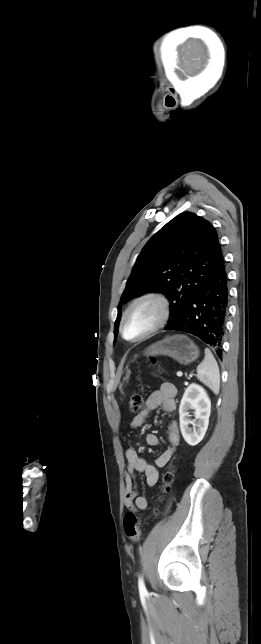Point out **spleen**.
Listing matches in <instances>:
<instances>
[{
	"instance_id": "obj_1",
	"label": "spleen",
	"mask_w": 261,
	"mask_h": 644,
	"mask_svg": "<svg viewBox=\"0 0 261 644\" xmlns=\"http://www.w3.org/2000/svg\"><path fill=\"white\" fill-rule=\"evenodd\" d=\"M197 378L204 385L209 387L214 394H218L220 390V373L218 364L211 353L205 349L204 360L197 367Z\"/></svg>"
}]
</instances>
